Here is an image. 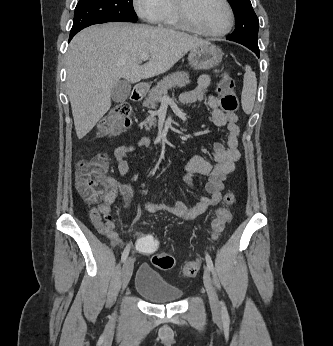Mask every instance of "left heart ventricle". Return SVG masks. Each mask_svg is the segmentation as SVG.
I'll use <instances>...</instances> for the list:
<instances>
[{
	"label": "left heart ventricle",
	"mask_w": 333,
	"mask_h": 346,
	"mask_svg": "<svg viewBox=\"0 0 333 346\" xmlns=\"http://www.w3.org/2000/svg\"><path fill=\"white\" fill-rule=\"evenodd\" d=\"M190 12L198 26L207 32H218L228 22L227 10L221 0H192Z\"/></svg>",
	"instance_id": "1"
}]
</instances>
